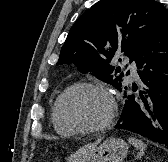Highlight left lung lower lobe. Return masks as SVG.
Returning <instances> with one entry per match:
<instances>
[{
  "mask_svg": "<svg viewBox=\"0 0 168 162\" xmlns=\"http://www.w3.org/2000/svg\"><path fill=\"white\" fill-rule=\"evenodd\" d=\"M134 60L142 86L136 95L125 93L123 112L115 128L168 147V15ZM127 89L124 86L121 90ZM132 90L137 91V86L133 85Z\"/></svg>",
  "mask_w": 168,
  "mask_h": 162,
  "instance_id": "1",
  "label": "left lung lower lobe"
}]
</instances>
